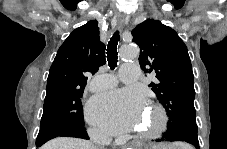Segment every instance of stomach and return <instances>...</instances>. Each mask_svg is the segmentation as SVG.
<instances>
[{
    "label": "stomach",
    "instance_id": "obj_1",
    "mask_svg": "<svg viewBox=\"0 0 227 149\" xmlns=\"http://www.w3.org/2000/svg\"><path fill=\"white\" fill-rule=\"evenodd\" d=\"M148 149H173V148H169V147H166L165 145H156L152 148H148Z\"/></svg>",
    "mask_w": 227,
    "mask_h": 149
}]
</instances>
